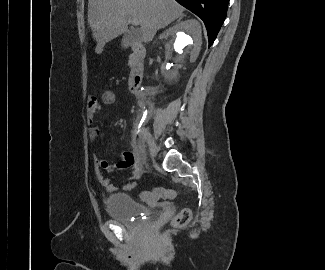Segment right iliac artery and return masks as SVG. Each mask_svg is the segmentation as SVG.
<instances>
[{
	"label": "right iliac artery",
	"instance_id": "right-iliac-artery-1",
	"mask_svg": "<svg viewBox=\"0 0 325 270\" xmlns=\"http://www.w3.org/2000/svg\"><path fill=\"white\" fill-rule=\"evenodd\" d=\"M139 133H140V136L145 140V141H147L148 143H149V141H148V132H147V130L145 129V128H141L140 130H139Z\"/></svg>",
	"mask_w": 325,
	"mask_h": 270
}]
</instances>
